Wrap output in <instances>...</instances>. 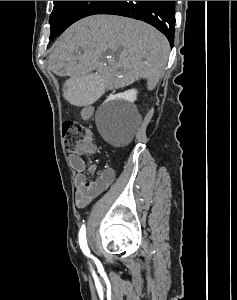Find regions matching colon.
I'll return each instance as SVG.
<instances>
[{
	"label": "colon",
	"mask_w": 237,
	"mask_h": 300,
	"mask_svg": "<svg viewBox=\"0 0 237 300\" xmlns=\"http://www.w3.org/2000/svg\"><path fill=\"white\" fill-rule=\"evenodd\" d=\"M64 145L70 153H85L92 146V132L75 121L63 125Z\"/></svg>",
	"instance_id": "obj_1"
}]
</instances>
